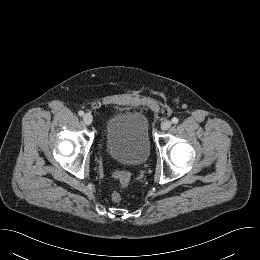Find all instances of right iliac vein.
I'll list each match as a JSON object with an SVG mask.
<instances>
[{"instance_id":"63e3f726","label":"right iliac vein","mask_w":260,"mask_h":260,"mask_svg":"<svg viewBox=\"0 0 260 260\" xmlns=\"http://www.w3.org/2000/svg\"><path fill=\"white\" fill-rule=\"evenodd\" d=\"M83 121L86 125H91L93 122V117L91 114L87 113L83 116Z\"/></svg>"}]
</instances>
